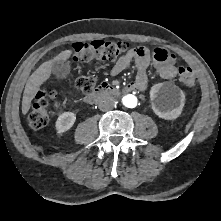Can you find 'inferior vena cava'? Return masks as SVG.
Wrapping results in <instances>:
<instances>
[{"label": "inferior vena cava", "instance_id": "obj_1", "mask_svg": "<svg viewBox=\"0 0 221 221\" xmlns=\"http://www.w3.org/2000/svg\"><path fill=\"white\" fill-rule=\"evenodd\" d=\"M116 105V100L112 96H103L98 103V107L101 111L112 110Z\"/></svg>", "mask_w": 221, "mask_h": 221}]
</instances>
